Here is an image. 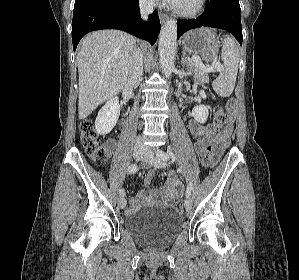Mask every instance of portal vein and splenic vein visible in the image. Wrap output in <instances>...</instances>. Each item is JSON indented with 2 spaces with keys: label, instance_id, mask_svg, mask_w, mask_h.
I'll use <instances>...</instances> for the list:
<instances>
[{
  "label": "portal vein and splenic vein",
  "instance_id": "1",
  "mask_svg": "<svg viewBox=\"0 0 299 280\" xmlns=\"http://www.w3.org/2000/svg\"><path fill=\"white\" fill-rule=\"evenodd\" d=\"M190 62H195V63L199 64L201 69L205 72H213L216 68H219V66L217 64H212L211 66L206 67L205 65L202 64L199 57H192L190 59Z\"/></svg>",
  "mask_w": 299,
  "mask_h": 280
}]
</instances>
